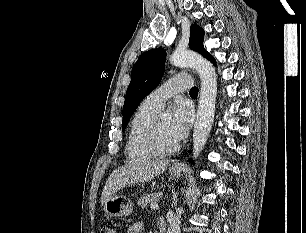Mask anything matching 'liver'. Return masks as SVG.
<instances>
[{
  "instance_id": "obj_1",
  "label": "liver",
  "mask_w": 306,
  "mask_h": 233,
  "mask_svg": "<svg viewBox=\"0 0 306 233\" xmlns=\"http://www.w3.org/2000/svg\"><path fill=\"white\" fill-rule=\"evenodd\" d=\"M168 165L169 160L145 161L130 163L114 170L104 186L101 204L104 205L118 190L136 183L148 182L159 176Z\"/></svg>"
}]
</instances>
